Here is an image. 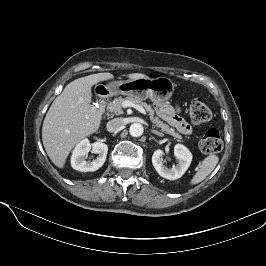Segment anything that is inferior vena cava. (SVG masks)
<instances>
[{
    "label": "inferior vena cava",
    "instance_id": "602c4592",
    "mask_svg": "<svg viewBox=\"0 0 266 266\" xmlns=\"http://www.w3.org/2000/svg\"><path fill=\"white\" fill-rule=\"evenodd\" d=\"M125 125L123 118H114L107 123V130L109 132H115L120 130Z\"/></svg>",
    "mask_w": 266,
    "mask_h": 266
}]
</instances>
